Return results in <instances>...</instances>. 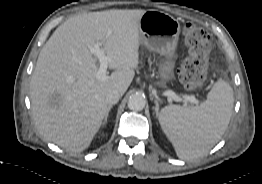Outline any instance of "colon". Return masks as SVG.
Masks as SVG:
<instances>
[{"label":"colon","mask_w":262,"mask_h":184,"mask_svg":"<svg viewBox=\"0 0 262 184\" xmlns=\"http://www.w3.org/2000/svg\"><path fill=\"white\" fill-rule=\"evenodd\" d=\"M183 38L187 56L180 68L179 77L186 89L195 90L203 86L207 77L210 37L200 27L187 24L183 30Z\"/></svg>","instance_id":"5ec220e1"}]
</instances>
